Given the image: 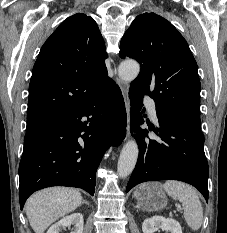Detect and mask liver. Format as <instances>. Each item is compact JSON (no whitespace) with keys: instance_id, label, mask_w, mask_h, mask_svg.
Wrapping results in <instances>:
<instances>
[{"instance_id":"obj_1","label":"liver","mask_w":227,"mask_h":233,"mask_svg":"<svg viewBox=\"0 0 227 233\" xmlns=\"http://www.w3.org/2000/svg\"><path fill=\"white\" fill-rule=\"evenodd\" d=\"M82 203L78 190L53 187L30 196L25 204V211L33 231L44 233L52 223L74 211Z\"/></svg>"}]
</instances>
